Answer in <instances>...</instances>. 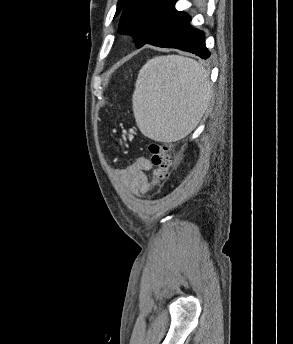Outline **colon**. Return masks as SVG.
<instances>
[{"mask_svg": "<svg viewBox=\"0 0 293 344\" xmlns=\"http://www.w3.org/2000/svg\"><path fill=\"white\" fill-rule=\"evenodd\" d=\"M148 151L153 166L149 188L154 189L169 178L172 166V156L169 145L163 143H151L148 147Z\"/></svg>", "mask_w": 293, "mask_h": 344, "instance_id": "colon-1", "label": "colon"}]
</instances>
